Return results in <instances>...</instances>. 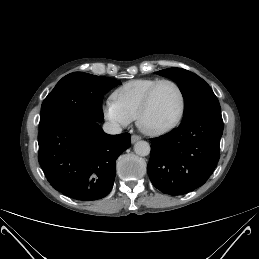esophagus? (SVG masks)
Returning <instances> with one entry per match:
<instances>
[{
  "instance_id": "34e87169",
  "label": "esophagus",
  "mask_w": 259,
  "mask_h": 259,
  "mask_svg": "<svg viewBox=\"0 0 259 259\" xmlns=\"http://www.w3.org/2000/svg\"><path fill=\"white\" fill-rule=\"evenodd\" d=\"M141 139L138 135H132L131 136V143L134 144L135 142L139 141Z\"/></svg>"
}]
</instances>
